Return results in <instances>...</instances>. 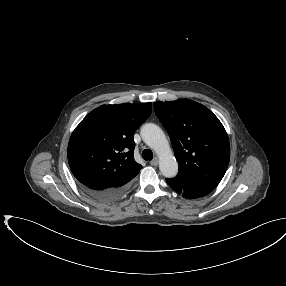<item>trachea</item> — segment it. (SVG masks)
<instances>
[{
	"instance_id": "3493384b",
	"label": "trachea",
	"mask_w": 286,
	"mask_h": 286,
	"mask_svg": "<svg viewBox=\"0 0 286 286\" xmlns=\"http://www.w3.org/2000/svg\"><path fill=\"white\" fill-rule=\"evenodd\" d=\"M142 157L144 160H152L153 158V153L150 149H144L142 151Z\"/></svg>"
}]
</instances>
